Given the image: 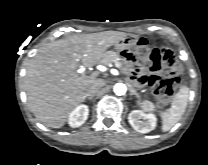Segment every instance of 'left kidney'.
Listing matches in <instances>:
<instances>
[{"label":"left kidney","instance_id":"5707ae66","mask_svg":"<svg viewBox=\"0 0 208 165\" xmlns=\"http://www.w3.org/2000/svg\"><path fill=\"white\" fill-rule=\"evenodd\" d=\"M130 125L139 133H148L157 126V118L152 113H144L141 110H133L128 115Z\"/></svg>","mask_w":208,"mask_h":165}]
</instances>
